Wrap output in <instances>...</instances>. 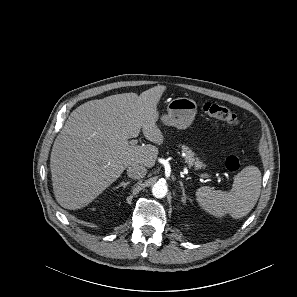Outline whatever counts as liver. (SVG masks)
I'll use <instances>...</instances> for the list:
<instances>
[{
	"mask_svg": "<svg viewBox=\"0 0 297 297\" xmlns=\"http://www.w3.org/2000/svg\"><path fill=\"white\" fill-rule=\"evenodd\" d=\"M166 86L86 102L68 117L50 156L53 192L66 209L91 203L131 165L154 166L158 148L133 146L139 133L157 145L164 137L156 122Z\"/></svg>",
	"mask_w": 297,
	"mask_h": 297,
	"instance_id": "1",
	"label": "liver"
}]
</instances>
